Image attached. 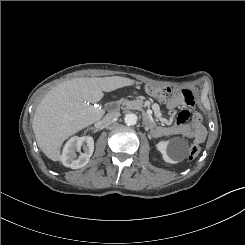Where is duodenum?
Returning <instances> with one entry per match:
<instances>
[{
    "mask_svg": "<svg viewBox=\"0 0 245 245\" xmlns=\"http://www.w3.org/2000/svg\"><path fill=\"white\" fill-rule=\"evenodd\" d=\"M118 105H119V104H118V102H116V101L110 102V103L107 104V110H108V111H115V110L118 108ZM144 123H145L148 127L154 124L153 119H152L150 116H148V115H146V116L144 117Z\"/></svg>",
    "mask_w": 245,
    "mask_h": 245,
    "instance_id": "410a0bca",
    "label": "duodenum"
}]
</instances>
